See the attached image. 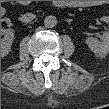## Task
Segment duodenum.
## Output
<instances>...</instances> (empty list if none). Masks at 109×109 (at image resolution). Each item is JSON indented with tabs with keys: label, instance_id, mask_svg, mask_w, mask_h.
<instances>
[{
	"label": "duodenum",
	"instance_id": "duodenum-1",
	"mask_svg": "<svg viewBox=\"0 0 109 109\" xmlns=\"http://www.w3.org/2000/svg\"><path fill=\"white\" fill-rule=\"evenodd\" d=\"M55 4L58 7H66V6L72 5V3L68 2V1H57Z\"/></svg>",
	"mask_w": 109,
	"mask_h": 109
}]
</instances>
